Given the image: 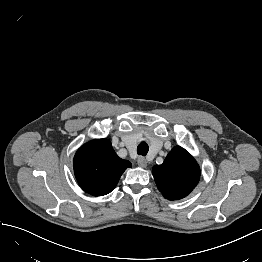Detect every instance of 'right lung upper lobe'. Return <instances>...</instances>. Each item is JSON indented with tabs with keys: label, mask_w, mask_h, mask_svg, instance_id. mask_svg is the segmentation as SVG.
Listing matches in <instances>:
<instances>
[{
	"label": "right lung upper lobe",
	"mask_w": 262,
	"mask_h": 262,
	"mask_svg": "<svg viewBox=\"0 0 262 262\" xmlns=\"http://www.w3.org/2000/svg\"><path fill=\"white\" fill-rule=\"evenodd\" d=\"M76 179L82 189L93 195H106L117 185L122 173L131 163L117 156L108 139H95L76 152Z\"/></svg>",
	"instance_id": "right-lung-upper-lobe-1"
}]
</instances>
